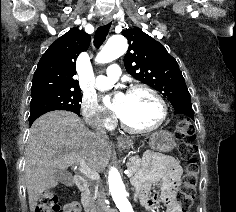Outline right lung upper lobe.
Wrapping results in <instances>:
<instances>
[{"label": "right lung upper lobe", "instance_id": "right-lung-upper-lobe-1", "mask_svg": "<svg viewBox=\"0 0 236 212\" xmlns=\"http://www.w3.org/2000/svg\"><path fill=\"white\" fill-rule=\"evenodd\" d=\"M91 37L78 28H72L54 41L41 57L35 71L32 94L59 89H79L75 61L78 55L89 47Z\"/></svg>", "mask_w": 236, "mask_h": 212}]
</instances>
